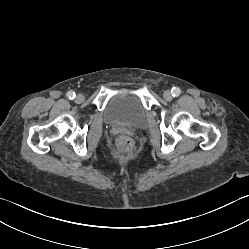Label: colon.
Instances as JSON below:
<instances>
[{"label":"colon","mask_w":249,"mask_h":249,"mask_svg":"<svg viewBox=\"0 0 249 249\" xmlns=\"http://www.w3.org/2000/svg\"><path fill=\"white\" fill-rule=\"evenodd\" d=\"M117 146H118V149L120 150V152H122L124 154H128L132 150L133 143L129 137L122 136L119 138V140L117 142Z\"/></svg>","instance_id":"5ec220e1"}]
</instances>
